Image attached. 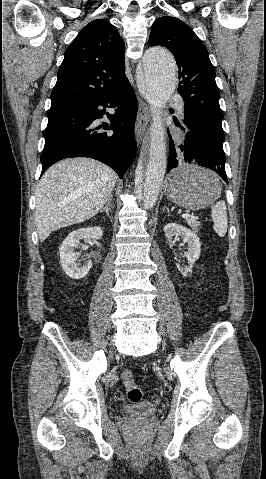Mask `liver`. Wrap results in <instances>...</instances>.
<instances>
[{
  "label": "liver",
  "mask_w": 266,
  "mask_h": 479,
  "mask_svg": "<svg viewBox=\"0 0 266 479\" xmlns=\"http://www.w3.org/2000/svg\"><path fill=\"white\" fill-rule=\"evenodd\" d=\"M116 179L112 169L90 158L66 159L50 167L36 189L40 242L53 231L95 216L110 198Z\"/></svg>",
  "instance_id": "liver-1"
}]
</instances>
